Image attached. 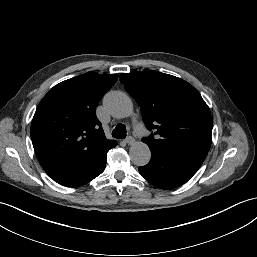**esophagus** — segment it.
Returning <instances> with one entry per match:
<instances>
[{"mask_svg":"<svg viewBox=\"0 0 257 257\" xmlns=\"http://www.w3.org/2000/svg\"><path fill=\"white\" fill-rule=\"evenodd\" d=\"M134 141H135V139H134L133 137H131V136H129V137H127V138L125 139V142H126L128 145L133 144Z\"/></svg>","mask_w":257,"mask_h":257,"instance_id":"1","label":"esophagus"}]
</instances>
